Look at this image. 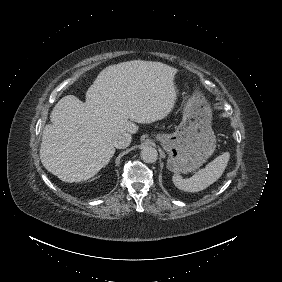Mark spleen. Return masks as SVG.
Segmentation results:
<instances>
[{
  "label": "spleen",
  "instance_id": "obj_1",
  "mask_svg": "<svg viewBox=\"0 0 282 282\" xmlns=\"http://www.w3.org/2000/svg\"><path fill=\"white\" fill-rule=\"evenodd\" d=\"M229 159L230 153L224 152L190 178L183 179L182 176L175 174L172 178L173 183L178 189L187 192L204 190L222 176Z\"/></svg>",
  "mask_w": 282,
  "mask_h": 282
}]
</instances>
